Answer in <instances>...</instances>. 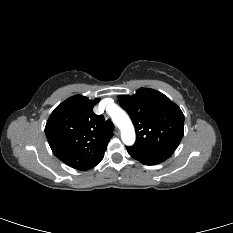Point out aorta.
<instances>
[{"label":"aorta","mask_w":233,"mask_h":233,"mask_svg":"<svg viewBox=\"0 0 233 233\" xmlns=\"http://www.w3.org/2000/svg\"><path fill=\"white\" fill-rule=\"evenodd\" d=\"M109 115L112 118L113 123L120 129L123 143L127 146L133 145L135 143L136 135L134 126L127 113L123 109L114 105Z\"/></svg>","instance_id":"762f6f07"}]
</instances>
